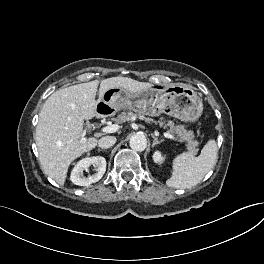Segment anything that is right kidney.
<instances>
[{"mask_svg": "<svg viewBox=\"0 0 264 264\" xmlns=\"http://www.w3.org/2000/svg\"><path fill=\"white\" fill-rule=\"evenodd\" d=\"M90 166H93L96 173L85 177L83 175L84 170H88ZM106 171V160L104 157H86L80 160L73 168L70 176V180L79 186H89L92 183L99 181Z\"/></svg>", "mask_w": 264, "mask_h": 264, "instance_id": "right-kidney-1", "label": "right kidney"}]
</instances>
